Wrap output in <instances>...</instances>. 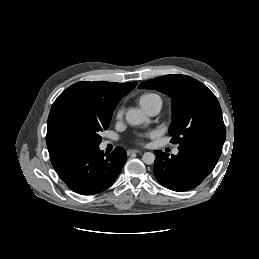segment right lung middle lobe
<instances>
[{
	"instance_id": "1",
	"label": "right lung middle lobe",
	"mask_w": 259,
	"mask_h": 259,
	"mask_svg": "<svg viewBox=\"0 0 259 259\" xmlns=\"http://www.w3.org/2000/svg\"><path fill=\"white\" fill-rule=\"evenodd\" d=\"M112 114H101L80 107H64L53 117L52 146L99 145L101 132L107 130Z\"/></svg>"
}]
</instances>
